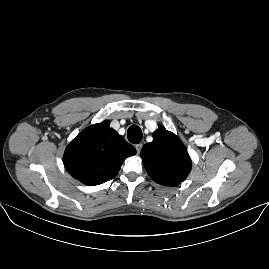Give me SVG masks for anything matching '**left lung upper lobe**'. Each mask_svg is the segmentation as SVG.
Segmentation results:
<instances>
[{"label":"left lung upper lobe","mask_w":269,"mask_h":269,"mask_svg":"<svg viewBox=\"0 0 269 269\" xmlns=\"http://www.w3.org/2000/svg\"><path fill=\"white\" fill-rule=\"evenodd\" d=\"M140 155L149 176L161 185L176 186L191 171L192 163L185 146L164 127L153 133V141L143 146Z\"/></svg>","instance_id":"left-lung-upper-lobe-1"}]
</instances>
